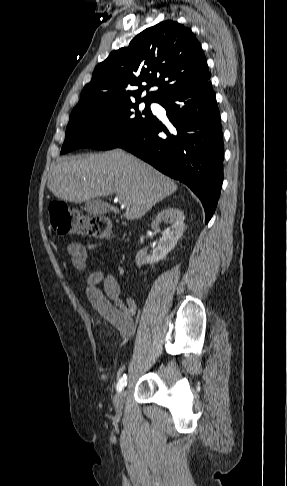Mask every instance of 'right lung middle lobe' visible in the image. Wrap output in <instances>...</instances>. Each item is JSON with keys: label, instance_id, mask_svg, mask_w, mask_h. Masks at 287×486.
<instances>
[{"label": "right lung middle lobe", "instance_id": "obj_1", "mask_svg": "<svg viewBox=\"0 0 287 486\" xmlns=\"http://www.w3.org/2000/svg\"><path fill=\"white\" fill-rule=\"evenodd\" d=\"M146 107L139 111L138 106ZM152 100L133 99L104 102L72 111L61 154L79 147L100 150L116 148L139 131L153 117ZM113 119L112 123H108Z\"/></svg>", "mask_w": 287, "mask_h": 486}]
</instances>
